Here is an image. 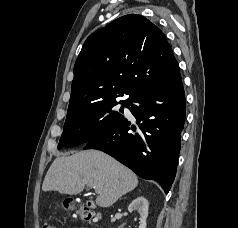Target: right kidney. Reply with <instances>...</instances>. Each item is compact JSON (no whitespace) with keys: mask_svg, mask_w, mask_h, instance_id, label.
Instances as JSON below:
<instances>
[{"mask_svg":"<svg viewBox=\"0 0 238 228\" xmlns=\"http://www.w3.org/2000/svg\"><path fill=\"white\" fill-rule=\"evenodd\" d=\"M149 203L148 200L144 197H137L134 199L128 206V211L132 213L137 211L140 215V225L139 228H146V219L148 216Z\"/></svg>","mask_w":238,"mask_h":228,"instance_id":"1","label":"right kidney"}]
</instances>
